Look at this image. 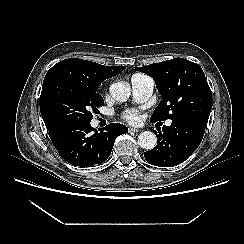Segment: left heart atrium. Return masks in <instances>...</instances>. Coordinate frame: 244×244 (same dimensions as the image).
<instances>
[{
  "instance_id": "left-heart-atrium-1",
  "label": "left heart atrium",
  "mask_w": 244,
  "mask_h": 244,
  "mask_svg": "<svg viewBox=\"0 0 244 244\" xmlns=\"http://www.w3.org/2000/svg\"><path fill=\"white\" fill-rule=\"evenodd\" d=\"M123 118L131 123V124H137L141 120V116L136 110H128L123 114Z\"/></svg>"
}]
</instances>
